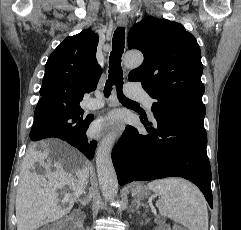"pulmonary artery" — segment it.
<instances>
[{
    "instance_id": "1",
    "label": "pulmonary artery",
    "mask_w": 241,
    "mask_h": 230,
    "mask_svg": "<svg viewBox=\"0 0 241 230\" xmlns=\"http://www.w3.org/2000/svg\"><path fill=\"white\" fill-rule=\"evenodd\" d=\"M127 96L133 100L142 102L148 109L153 107V98L150 97L147 93L140 89V87L135 83H128L126 85ZM104 101L101 97H95L90 99L86 106L89 109L95 110L103 107Z\"/></svg>"
}]
</instances>
